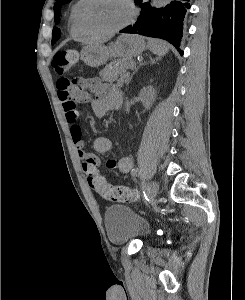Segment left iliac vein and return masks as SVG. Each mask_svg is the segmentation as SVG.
<instances>
[{
  "label": "left iliac vein",
  "mask_w": 245,
  "mask_h": 300,
  "mask_svg": "<svg viewBox=\"0 0 245 300\" xmlns=\"http://www.w3.org/2000/svg\"><path fill=\"white\" fill-rule=\"evenodd\" d=\"M158 184L155 181L149 183V198L154 200L158 194Z\"/></svg>",
  "instance_id": "left-iliac-vein-1"
}]
</instances>
